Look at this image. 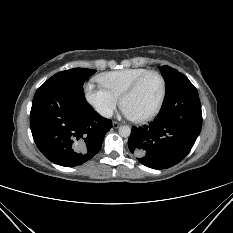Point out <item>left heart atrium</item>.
<instances>
[{
    "label": "left heart atrium",
    "mask_w": 233,
    "mask_h": 233,
    "mask_svg": "<svg viewBox=\"0 0 233 233\" xmlns=\"http://www.w3.org/2000/svg\"><path fill=\"white\" fill-rule=\"evenodd\" d=\"M122 113L126 116V117H129V118H131L132 117V115H131V113L129 112V110L126 108V107H122Z\"/></svg>",
    "instance_id": "obj_1"
}]
</instances>
